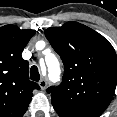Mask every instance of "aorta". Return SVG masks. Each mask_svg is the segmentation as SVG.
Listing matches in <instances>:
<instances>
[{
	"instance_id": "1",
	"label": "aorta",
	"mask_w": 117,
	"mask_h": 117,
	"mask_svg": "<svg viewBox=\"0 0 117 117\" xmlns=\"http://www.w3.org/2000/svg\"><path fill=\"white\" fill-rule=\"evenodd\" d=\"M46 64L48 66L51 78L59 76V61L54 54H48L45 57Z\"/></svg>"
}]
</instances>
